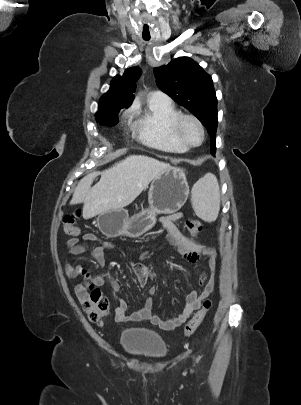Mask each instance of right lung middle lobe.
Wrapping results in <instances>:
<instances>
[{
	"label": "right lung middle lobe",
	"instance_id": "dd1d6c3e",
	"mask_svg": "<svg viewBox=\"0 0 301 405\" xmlns=\"http://www.w3.org/2000/svg\"><path fill=\"white\" fill-rule=\"evenodd\" d=\"M120 110L113 111V112H103L98 111L96 113V119L103 125L113 126L118 123V113Z\"/></svg>",
	"mask_w": 301,
	"mask_h": 405
}]
</instances>
